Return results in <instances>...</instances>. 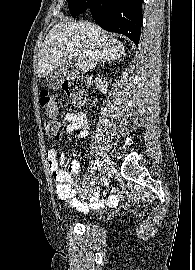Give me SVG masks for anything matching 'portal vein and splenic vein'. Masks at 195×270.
Instances as JSON below:
<instances>
[{"instance_id": "18ae733b", "label": "portal vein and splenic vein", "mask_w": 195, "mask_h": 270, "mask_svg": "<svg viewBox=\"0 0 195 270\" xmlns=\"http://www.w3.org/2000/svg\"><path fill=\"white\" fill-rule=\"evenodd\" d=\"M70 52H71V55L73 56V57H76V56H78V53L75 51V50H70Z\"/></svg>"}]
</instances>
